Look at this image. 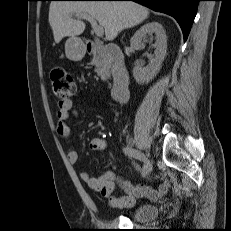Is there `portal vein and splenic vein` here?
Listing matches in <instances>:
<instances>
[{
    "label": "portal vein and splenic vein",
    "mask_w": 231,
    "mask_h": 231,
    "mask_svg": "<svg viewBox=\"0 0 231 231\" xmlns=\"http://www.w3.org/2000/svg\"><path fill=\"white\" fill-rule=\"evenodd\" d=\"M76 17L82 18V19H86L87 21H89V23L91 24V26H92L93 31L95 32V34L98 37H102L103 36L104 29H103L102 26H100V25L97 24V21L94 19V17H92V16H90L88 14H85V13L78 14V15H76Z\"/></svg>",
    "instance_id": "18ae733b"
}]
</instances>
